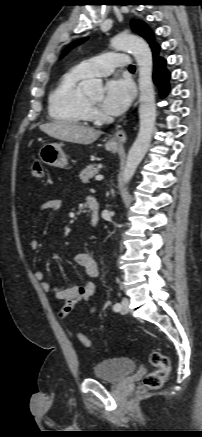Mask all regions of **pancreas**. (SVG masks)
Masks as SVG:
<instances>
[{
    "label": "pancreas",
    "instance_id": "pancreas-1",
    "mask_svg": "<svg viewBox=\"0 0 202 437\" xmlns=\"http://www.w3.org/2000/svg\"><path fill=\"white\" fill-rule=\"evenodd\" d=\"M98 172L99 169L96 167V165L90 164L80 172L79 177L83 183H88L89 179L92 178Z\"/></svg>",
    "mask_w": 202,
    "mask_h": 437
}]
</instances>
